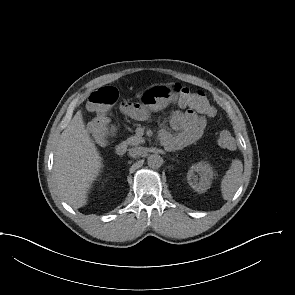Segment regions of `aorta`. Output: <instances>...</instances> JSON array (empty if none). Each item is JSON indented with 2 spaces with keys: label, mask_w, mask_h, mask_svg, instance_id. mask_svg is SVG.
I'll use <instances>...</instances> for the list:
<instances>
[{
  "label": "aorta",
  "mask_w": 295,
  "mask_h": 295,
  "mask_svg": "<svg viewBox=\"0 0 295 295\" xmlns=\"http://www.w3.org/2000/svg\"><path fill=\"white\" fill-rule=\"evenodd\" d=\"M147 163H148V166L151 168H159L163 164V159L158 154H151L147 158Z\"/></svg>",
  "instance_id": "762f6f07"
}]
</instances>
